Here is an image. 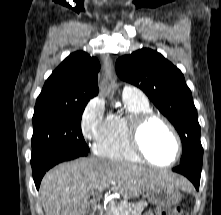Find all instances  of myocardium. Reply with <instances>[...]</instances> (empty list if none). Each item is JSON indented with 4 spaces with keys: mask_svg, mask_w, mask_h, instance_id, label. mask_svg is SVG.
Returning a JSON list of instances; mask_svg holds the SVG:
<instances>
[{
    "mask_svg": "<svg viewBox=\"0 0 221 215\" xmlns=\"http://www.w3.org/2000/svg\"><path fill=\"white\" fill-rule=\"evenodd\" d=\"M152 120H159L161 121L170 131L171 135L174 138L175 145H176V152L174 158L166 164H159L155 161H153L145 152L142 142H141V137L144 128L146 125L152 121ZM127 137H128V142L133 150V152L142 160L146 161L147 163L160 167V168H169L175 165L178 160L181 157L182 154V143L181 139L179 137L178 132L176 131L175 127L173 124L162 114L157 113L153 110L141 112L139 114H136L132 116L127 125Z\"/></svg>",
    "mask_w": 221,
    "mask_h": 215,
    "instance_id": "obj_1",
    "label": "myocardium"
}]
</instances>
